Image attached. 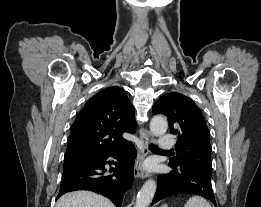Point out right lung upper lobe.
<instances>
[{
  "instance_id": "1",
  "label": "right lung upper lobe",
  "mask_w": 261,
  "mask_h": 207,
  "mask_svg": "<svg viewBox=\"0 0 261 207\" xmlns=\"http://www.w3.org/2000/svg\"><path fill=\"white\" fill-rule=\"evenodd\" d=\"M134 107L120 87L106 88L90 98L77 115L68 139L64 162L91 159L130 143L123 133L137 127Z\"/></svg>"
}]
</instances>
